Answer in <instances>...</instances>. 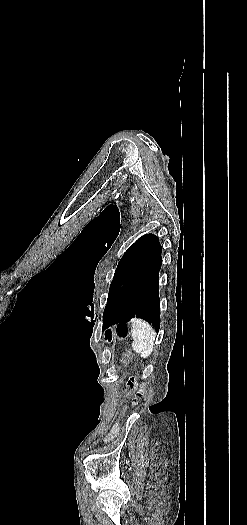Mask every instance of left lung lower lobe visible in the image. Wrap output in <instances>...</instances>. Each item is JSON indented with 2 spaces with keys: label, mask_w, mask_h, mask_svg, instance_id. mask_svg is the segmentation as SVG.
Returning <instances> with one entry per match:
<instances>
[{
  "label": "left lung lower lobe",
  "mask_w": 247,
  "mask_h": 525,
  "mask_svg": "<svg viewBox=\"0 0 247 525\" xmlns=\"http://www.w3.org/2000/svg\"><path fill=\"white\" fill-rule=\"evenodd\" d=\"M161 249L149 267L133 282L111 306L103 319V326L121 324L134 317L148 320L158 332L160 324L159 270Z\"/></svg>",
  "instance_id": "1"
}]
</instances>
